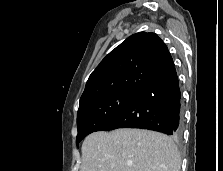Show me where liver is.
I'll return each mask as SVG.
<instances>
[{
    "instance_id": "liver-1",
    "label": "liver",
    "mask_w": 223,
    "mask_h": 171,
    "mask_svg": "<svg viewBox=\"0 0 223 171\" xmlns=\"http://www.w3.org/2000/svg\"><path fill=\"white\" fill-rule=\"evenodd\" d=\"M181 157L165 134L121 128L94 132L82 144L81 171H180Z\"/></svg>"
}]
</instances>
